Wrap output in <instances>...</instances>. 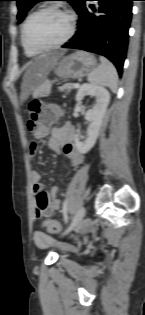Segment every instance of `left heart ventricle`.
<instances>
[{
	"label": "left heart ventricle",
	"mask_w": 145,
	"mask_h": 315,
	"mask_svg": "<svg viewBox=\"0 0 145 315\" xmlns=\"http://www.w3.org/2000/svg\"><path fill=\"white\" fill-rule=\"evenodd\" d=\"M67 19L53 11L36 15L27 27V38L35 45L46 46L60 40L67 32Z\"/></svg>",
	"instance_id": "b2bd125f"
}]
</instances>
